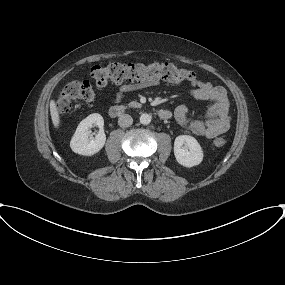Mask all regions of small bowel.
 I'll return each instance as SVG.
<instances>
[{"label": "small bowel", "mask_w": 285, "mask_h": 285, "mask_svg": "<svg viewBox=\"0 0 285 285\" xmlns=\"http://www.w3.org/2000/svg\"><path fill=\"white\" fill-rule=\"evenodd\" d=\"M154 80H142L132 83H119L115 100L122 99L125 93L134 92L150 85L156 84ZM188 94L200 100L210 101L212 104L201 119L188 117L189 108L180 104L174 112V117L179 126L196 136L212 139L225 133L230 127V109L226 90L210 82L197 80L190 84Z\"/></svg>", "instance_id": "c3829d8e"}]
</instances>
